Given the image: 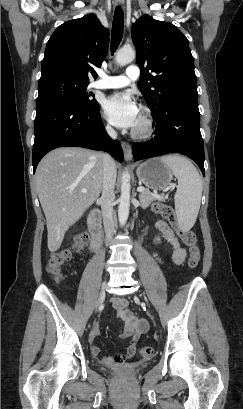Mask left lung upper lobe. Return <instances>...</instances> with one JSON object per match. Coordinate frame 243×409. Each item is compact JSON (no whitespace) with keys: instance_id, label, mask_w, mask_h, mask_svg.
<instances>
[{"instance_id":"5c2ea615","label":"left lung upper lobe","mask_w":243,"mask_h":409,"mask_svg":"<svg viewBox=\"0 0 243 409\" xmlns=\"http://www.w3.org/2000/svg\"><path fill=\"white\" fill-rule=\"evenodd\" d=\"M131 35L141 69L138 88L152 115L171 99L197 93L189 41L176 26L143 15L134 23Z\"/></svg>"}]
</instances>
